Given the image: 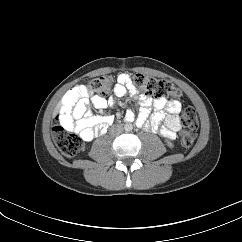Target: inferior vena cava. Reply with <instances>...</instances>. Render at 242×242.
<instances>
[{"label": "inferior vena cava", "instance_id": "1", "mask_svg": "<svg viewBox=\"0 0 242 242\" xmlns=\"http://www.w3.org/2000/svg\"><path fill=\"white\" fill-rule=\"evenodd\" d=\"M111 132L115 135L121 134L123 132V127L120 125H115L112 127Z\"/></svg>", "mask_w": 242, "mask_h": 242}]
</instances>
